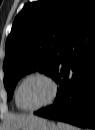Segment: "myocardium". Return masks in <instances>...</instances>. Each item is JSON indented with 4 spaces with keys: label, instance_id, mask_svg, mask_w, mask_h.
Segmentation results:
<instances>
[{
    "label": "myocardium",
    "instance_id": "1",
    "mask_svg": "<svg viewBox=\"0 0 95 130\" xmlns=\"http://www.w3.org/2000/svg\"><path fill=\"white\" fill-rule=\"evenodd\" d=\"M32 78H42V79L46 80L51 87V94H50L49 99L46 102H44L43 104H41L37 107H34V108H26L20 104L19 92H20V89L23 86V84ZM57 92H58V85L53 77H51L49 74L44 73V72H34V73H31V74L27 75L26 77H24L22 79V81L19 83V85L15 91V102H16V105L18 106V108H20L21 110L26 111V112H34V111H37L39 109H42V108L50 105L55 100V98L57 96Z\"/></svg>",
    "mask_w": 95,
    "mask_h": 130
}]
</instances>
